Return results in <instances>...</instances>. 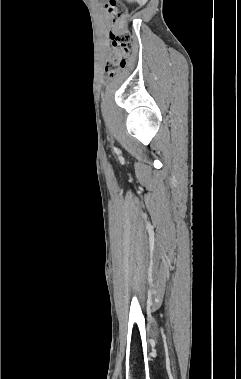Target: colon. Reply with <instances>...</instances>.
Masks as SVG:
<instances>
[{
  "instance_id": "5ec220e1",
  "label": "colon",
  "mask_w": 241,
  "mask_h": 379,
  "mask_svg": "<svg viewBox=\"0 0 241 379\" xmlns=\"http://www.w3.org/2000/svg\"><path fill=\"white\" fill-rule=\"evenodd\" d=\"M106 9L111 15L118 19L124 16V12L117 7L114 0L107 3ZM131 49L132 36L130 32L125 28L118 27L112 37L111 52L105 67L110 77L115 76L120 70L127 66Z\"/></svg>"
}]
</instances>
